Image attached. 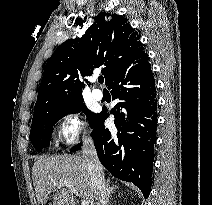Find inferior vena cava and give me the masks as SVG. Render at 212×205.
<instances>
[{
    "label": "inferior vena cava",
    "mask_w": 212,
    "mask_h": 205,
    "mask_svg": "<svg viewBox=\"0 0 212 205\" xmlns=\"http://www.w3.org/2000/svg\"><path fill=\"white\" fill-rule=\"evenodd\" d=\"M82 152L87 162L90 184L94 192L93 205H105L106 186L103 167L98 159L94 143L89 138H84Z\"/></svg>",
    "instance_id": "1"
}]
</instances>
